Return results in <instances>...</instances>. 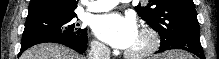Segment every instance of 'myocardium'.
<instances>
[{"label":"myocardium","mask_w":219,"mask_h":59,"mask_svg":"<svg viewBox=\"0 0 219 59\" xmlns=\"http://www.w3.org/2000/svg\"><path fill=\"white\" fill-rule=\"evenodd\" d=\"M139 34L144 36L147 40V44L144 48L137 51L127 49L125 56L132 59H143L152 55L160 45V38L158 33L151 27H142Z\"/></svg>","instance_id":"obj_1"}]
</instances>
